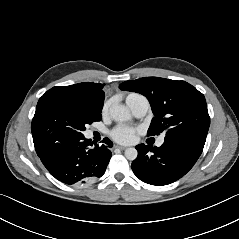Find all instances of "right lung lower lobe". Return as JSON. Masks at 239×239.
Returning <instances> with one entry per match:
<instances>
[{
    "label": "right lung lower lobe",
    "mask_w": 239,
    "mask_h": 239,
    "mask_svg": "<svg viewBox=\"0 0 239 239\" xmlns=\"http://www.w3.org/2000/svg\"><path fill=\"white\" fill-rule=\"evenodd\" d=\"M98 145L84 135L64 136L37 152L46 169L65 184H84L101 177L112 156L113 143Z\"/></svg>",
    "instance_id": "98d812e1"
}]
</instances>
